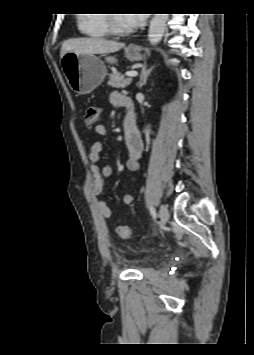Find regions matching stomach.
Masks as SVG:
<instances>
[{"mask_svg":"<svg viewBox=\"0 0 254 355\" xmlns=\"http://www.w3.org/2000/svg\"><path fill=\"white\" fill-rule=\"evenodd\" d=\"M125 55L131 61L142 60L139 48L129 45L125 48ZM109 63H115L113 57H106ZM62 69L72 90L78 94H89L99 86L106 76V66L101 58L94 54H79L67 52L62 58Z\"/></svg>","mask_w":254,"mask_h":355,"instance_id":"1","label":"stomach"}]
</instances>
